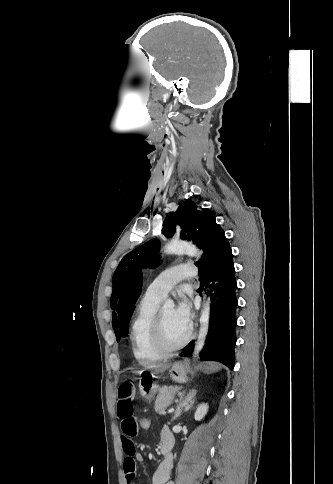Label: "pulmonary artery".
Instances as JSON below:
<instances>
[{
  "instance_id": "e3ab8cb5",
  "label": "pulmonary artery",
  "mask_w": 333,
  "mask_h": 484,
  "mask_svg": "<svg viewBox=\"0 0 333 484\" xmlns=\"http://www.w3.org/2000/svg\"><path fill=\"white\" fill-rule=\"evenodd\" d=\"M196 274L195 267L190 263H182L170 267L160 273L148 286L146 295L158 299L167 293L181 280Z\"/></svg>"
}]
</instances>
